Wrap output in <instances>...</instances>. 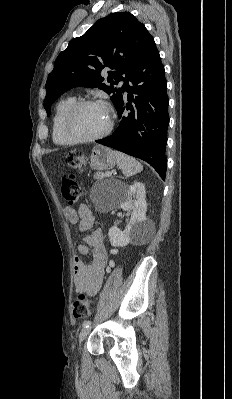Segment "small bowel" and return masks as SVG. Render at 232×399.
<instances>
[{
    "mask_svg": "<svg viewBox=\"0 0 232 399\" xmlns=\"http://www.w3.org/2000/svg\"><path fill=\"white\" fill-rule=\"evenodd\" d=\"M81 220L79 229L82 231L91 229L95 220L91 214V206L85 200H80L78 203ZM73 213L71 207L65 208V214ZM88 246L93 247L92 258L90 265H86L82 260L75 257L72 260L73 264V289L76 294L87 292L92 297H95L103 282V268L107 261V254L103 246V233L100 230L94 231L91 235L82 237L77 245V249L81 254L88 253Z\"/></svg>",
    "mask_w": 232,
    "mask_h": 399,
    "instance_id": "1",
    "label": "small bowel"
}]
</instances>
